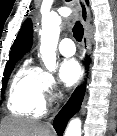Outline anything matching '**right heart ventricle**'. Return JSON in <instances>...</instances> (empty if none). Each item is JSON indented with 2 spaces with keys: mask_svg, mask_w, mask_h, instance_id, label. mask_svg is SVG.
Returning a JSON list of instances; mask_svg holds the SVG:
<instances>
[{
  "mask_svg": "<svg viewBox=\"0 0 117 136\" xmlns=\"http://www.w3.org/2000/svg\"><path fill=\"white\" fill-rule=\"evenodd\" d=\"M41 70L22 65L15 73L8 93L7 106L11 113L40 118L45 111L40 89Z\"/></svg>",
  "mask_w": 117,
  "mask_h": 136,
  "instance_id": "right-heart-ventricle-1",
  "label": "right heart ventricle"
}]
</instances>
